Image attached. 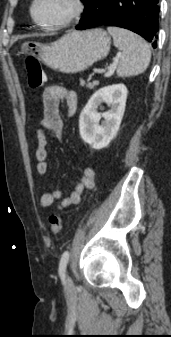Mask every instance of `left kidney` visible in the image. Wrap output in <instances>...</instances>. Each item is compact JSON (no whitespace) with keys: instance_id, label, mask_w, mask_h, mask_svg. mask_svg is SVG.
Wrapping results in <instances>:
<instances>
[{"instance_id":"5707ae66","label":"left kidney","mask_w":171,"mask_h":337,"mask_svg":"<svg viewBox=\"0 0 171 337\" xmlns=\"http://www.w3.org/2000/svg\"><path fill=\"white\" fill-rule=\"evenodd\" d=\"M127 93L125 85L116 84L103 87L91 96L79 118L80 136L85 143L98 150L108 146L119 130ZM103 102L110 106V110L98 113V107Z\"/></svg>"}]
</instances>
